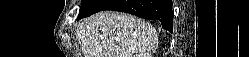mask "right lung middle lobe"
I'll return each mask as SVG.
<instances>
[{"label": "right lung middle lobe", "instance_id": "dd1d6c3e", "mask_svg": "<svg viewBox=\"0 0 249 57\" xmlns=\"http://www.w3.org/2000/svg\"><path fill=\"white\" fill-rule=\"evenodd\" d=\"M90 2L91 0H81V9H84L85 7H87Z\"/></svg>", "mask_w": 249, "mask_h": 57}]
</instances>
